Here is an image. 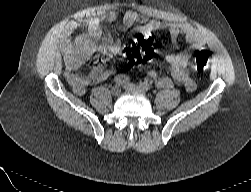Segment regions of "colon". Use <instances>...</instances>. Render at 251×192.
<instances>
[{
  "mask_svg": "<svg viewBox=\"0 0 251 192\" xmlns=\"http://www.w3.org/2000/svg\"><path fill=\"white\" fill-rule=\"evenodd\" d=\"M158 49L154 36L150 33L141 34L134 43L125 47L120 53V61L125 67L146 61L157 56ZM212 56L207 51H199L196 55L195 65L198 71L206 70L211 63Z\"/></svg>",
  "mask_w": 251,
  "mask_h": 192,
  "instance_id": "obj_1",
  "label": "colon"
}]
</instances>
